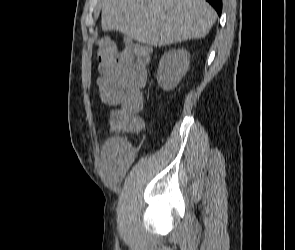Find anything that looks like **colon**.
<instances>
[{"label": "colon", "mask_w": 295, "mask_h": 250, "mask_svg": "<svg viewBox=\"0 0 295 250\" xmlns=\"http://www.w3.org/2000/svg\"><path fill=\"white\" fill-rule=\"evenodd\" d=\"M125 50L137 54L148 49L138 43H129ZM121 51L109 38L105 37L99 40L97 58L102 74L109 73L114 69ZM139 112L140 109L134 106L121 105L109 113V125L114 130L138 132L143 128V120L139 116Z\"/></svg>", "instance_id": "obj_1"}]
</instances>
